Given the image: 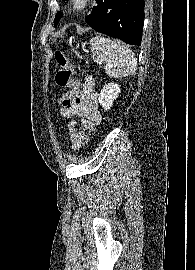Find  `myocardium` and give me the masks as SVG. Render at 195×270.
Wrapping results in <instances>:
<instances>
[{"instance_id":"myocardium-1","label":"myocardium","mask_w":195,"mask_h":270,"mask_svg":"<svg viewBox=\"0 0 195 270\" xmlns=\"http://www.w3.org/2000/svg\"><path fill=\"white\" fill-rule=\"evenodd\" d=\"M94 0H70L71 10L75 13H84L93 5Z\"/></svg>"}]
</instances>
